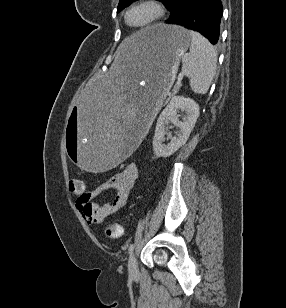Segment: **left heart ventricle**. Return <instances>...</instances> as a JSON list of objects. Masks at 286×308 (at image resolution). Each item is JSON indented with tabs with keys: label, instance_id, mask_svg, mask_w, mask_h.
Here are the masks:
<instances>
[{
	"label": "left heart ventricle",
	"instance_id": "obj_1",
	"mask_svg": "<svg viewBox=\"0 0 286 308\" xmlns=\"http://www.w3.org/2000/svg\"><path fill=\"white\" fill-rule=\"evenodd\" d=\"M154 16V10L147 5L134 8L129 13V22L133 25H142Z\"/></svg>",
	"mask_w": 286,
	"mask_h": 308
}]
</instances>
